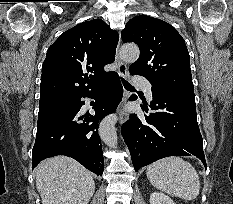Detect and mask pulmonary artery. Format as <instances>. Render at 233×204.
<instances>
[{"mask_svg": "<svg viewBox=\"0 0 233 204\" xmlns=\"http://www.w3.org/2000/svg\"><path fill=\"white\" fill-rule=\"evenodd\" d=\"M134 82L143 88L146 96L149 99L152 98L151 84L147 79H145L144 77L138 76L134 78Z\"/></svg>", "mask_w": 233, "mask_h": 204, "instance_id": "1", "label": "pulmonary artery"}]
</instances>
